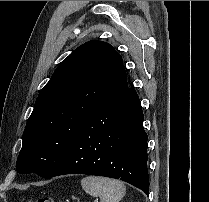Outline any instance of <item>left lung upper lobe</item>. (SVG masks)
<instances>
[{
    "label": "left lung upper lobe",
    "mask_w": 209,
    "mask_h": 202,
    "mask_svg": "<svg viewBox=\"0 0 209 202\" xmlns=\"http://www.w3.org/2000/svg\"><path fill=\"white\" fill-rule=\"evenodd\" d=\"M126 89L122 58L110 44L89 41L75 49L37 97L17 172L51 178L87 118Z\"/></svg>",
    "instance_id": "1"
}]
</instances>
